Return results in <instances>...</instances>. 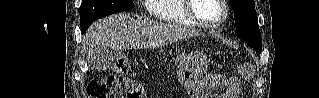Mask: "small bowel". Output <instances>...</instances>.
Returning <instances> with one entry per match:
<instances>
[{
	"instance_id": "1",
	"label": "small bowel",
	"mask_w": 319,
	"mask_h": 98,
	"mask_svg": "<svg viewBox=\"0 0 319 98\" xmlns=\"http://www.w3.org/2000/svg\"><path fill=\"white\" fill-rule=\"evenodd\" d=\"M209 86L211 88L228 86L231 88H236L235 79L225 78L220 75H213L208 78Z\"/></svg>"
}]
</instances>
